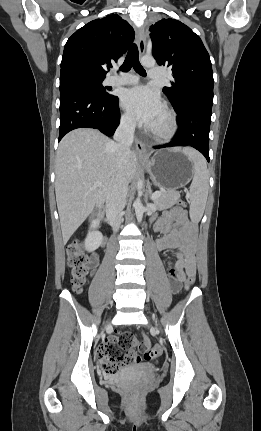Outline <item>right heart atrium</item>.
Masks as SVG:
<instances>
[{"label":"right heart atrium","instance_id":"obj_1","mask_svg":"<svg viewBox=\"0 0 261 431\" xmlns=\"http://www.w3.org/2000/svg\"><path fill=\"white\" fill-rule=\"evenodd\" d=\"M120 123L125 128H131L133 126V121L128 114L121 115Z\"/></svg>","mask_w":261,"mask_h":431}]
</instances>
